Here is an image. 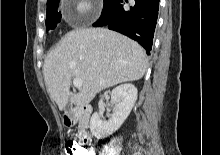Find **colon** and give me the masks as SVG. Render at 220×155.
<instances>
[{"label":"colon","mask_w":220,"mask_h":155,"mask_svg":"<svg viewBox=\"0 0 220 155\" xmlns=\"http://www.w3.org/2000/svg\"><path fill=\"white\" fill-rule=\"evenodd\" d=\"M88 148H90V143H78L71 140L66 143L65 152L67 155H91V152L87 151Z\"/></svg>","instance_id":"colon-1"}]
</instances>
